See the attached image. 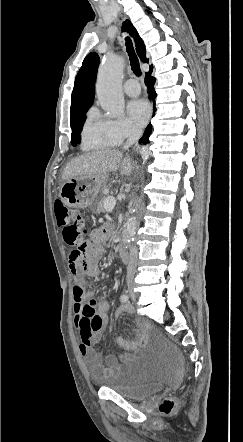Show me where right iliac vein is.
I'll return each mask as SVG.
<instances>
[{
	"instance_id": "1",
	"label": "right iliac vein",
	"mask_w": 243,
	"mask_h": 442,
	"mask_svg": "<svg viewBox=\"0 0 243 442\" xmlns=\"http://www.w3.org/2000/svg\"><path fill=\"white\" fill-rule=\"evenodd\" d=\"M127 292L129 293V295L131 296V298H132L133 300L136 299V294H135V292H134V286H133L132 283H130V284L128 285V287H127Z\"/></svg>"
}]
</instances>
